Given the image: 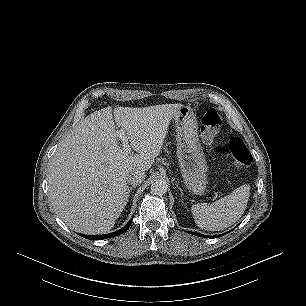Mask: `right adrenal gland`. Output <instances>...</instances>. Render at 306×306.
Returning <instances> with one entry per match:
<instances>
[{
    "instance_id": "obj_1",
    "label": "right adrenal gland",
    "mask_w": 306,
    "mask_h": 306,
    "mask_svg": "<svg viewBox=\"0 0 306 306\" xmlns=\"http://www.w3.org/2000/svg\"><path fill=\"white\" fill-rule=\"evenodd\" d=\"M133 188H135V186L129 188V195L131 194Z\"/></svg>"
}]
</instances>
